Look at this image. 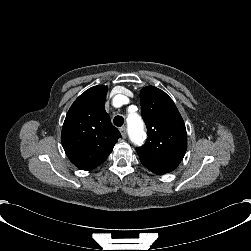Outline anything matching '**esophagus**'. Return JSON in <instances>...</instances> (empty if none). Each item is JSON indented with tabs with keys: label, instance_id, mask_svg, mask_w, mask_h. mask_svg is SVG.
Segmentation results:
<instances>
[{
	"label": "esophagus",
	"instance_id": "obj_1",
	"mask_svg": "<svg viewBox=\"0 0 251 251\" xmlns=\"http://www.w3.org/2000/svg\"><path fill=\"white\" fill-rule=\"evenodd\" d=\"M120 133L122 135V138L125 139L127 137V130L126 127L120 128Z\"/></svg>",
	"mask_w": 251,
	"mask_h": 251
}]
</instances>
